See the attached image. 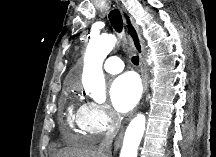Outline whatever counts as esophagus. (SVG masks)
<instances>
[{
  "instance_id": "1",
  "label": "esophagus",
  "mask_w": 216,
  "mask_h": 157,
  "mask_svg": "<svg viewBox=\"0 0 216 157\" xmlns=\"http://www.w3.org/2000/svg\"><path fill=\"white\" fill-rule=\"evenodd\" d=\"M120 12L125 22V25L127 27L128 35L133 42L134 48L139 54L143 94H145L147 92V72H146V66H145V61H144V52H145L144 51V40L141 37V32L139 30L138 25L135 23L133 17L124 8H120ZM132 30H135L138 35L139 45L136 43V41L133 38ZM122 139H123V131H121L119 135L117 136V138L115 139V142H114L115 150H117L120 147Z\"/></svg>"
}]
</instances>
